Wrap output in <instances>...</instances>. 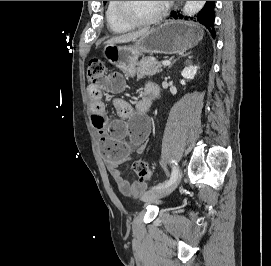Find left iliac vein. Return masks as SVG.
I'll return each instance as SVG.
<instances>
[{
  "mask_svg": "<svg viewBox=\"0 0 271 266\" xmlns=\"http://www.w3.org/2000/svg\"><path fill=\"white\" fill-rule=\"evenodd\" d=\"M176 169L178 171V175H177L176 180L172 184H170L166 187H163V188L147 191L146 193H144L142 195L141 199L145 202H150V201H154V200L163 198V197L169 195L170 193H172L176 189V187L178 186V184L182 178V172L180 171V169L178 167H176Z\"/></svg>",
  "mask_w": 271,
  "mask_h": 266,
  "instance_id": "obj_1",
  "label": "left iliac vein"
}]
</instances>
